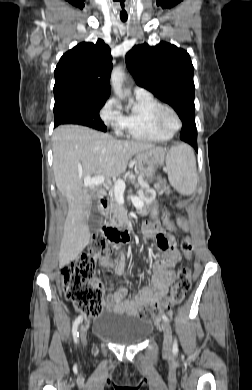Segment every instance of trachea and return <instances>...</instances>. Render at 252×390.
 <instances>
[{"mask_svg": "<svg viewBox=\"0 0 252 390\" xmlns=\"http://www.w3.org/2000/svg\"><path fill=\"white\" fill-rule=\"evenodd\" d=\"M122 21H124V22H125L126 20H125V19H122Z\"/></svg>", "mask_w": 252, "mask_h": 390, "instance_id": "3493384b", "label": "trachea"}]
</instances>
